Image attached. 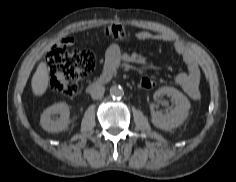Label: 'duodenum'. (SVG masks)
Masks as SVG:
<instances>
[{
	"label": "duodenum",
	"mask_w": 236,
	"mask_h": 182,
	"mask_svg": "<svg viewBox=\"0 0 236 182\" xmlns=\"http://www.w3.org/2000/svg\"><path fill=\"white\" fill-rule=\"evenodd\" d=\"M114 74H115V67L106 66L102 74L96 80H93L90 83H88V85L86 86V91L89 92L96 86L109 82L114 77Z\"/></svg>",
	"instance_id": "410a0bca"
}]
</instances>
